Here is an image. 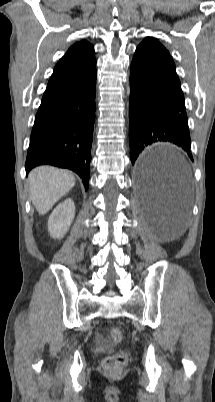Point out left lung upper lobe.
Segmentation results:
<instances>
[{
    "label": "left lung upper lobe",
    "instance_id": "obj_1",
    "mask_svg": "<svg viewBox=\"0 0 215 402\" xmlns=\"http://www.w3.org/2000/svg\"><path fill=\"white\" fill-rule=\"evenodd\" d=\"M134 59H138L156 68L177 76L175 64L168 50L153 37H146L137 47Z\"/></svg>",
    "mask_w": 215,
    "mask_h": 402
}]
</instances>
